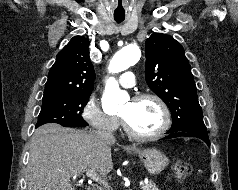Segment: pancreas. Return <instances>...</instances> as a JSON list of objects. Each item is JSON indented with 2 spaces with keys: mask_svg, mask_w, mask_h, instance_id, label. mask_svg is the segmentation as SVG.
<instances>
[{
  "mask_svg": "<svg viewBox=\"0 0 238 190\" xmlns=\"http://www.w3.org/2000/svg\"><path fill=\"white\" fill-rule=\"evenodd\" d=\"M100 190H109L108 186H104ZM142 190H159L155 183L149 182L147 185L142 187Z\"/></svg>",
  "mask_w": 238,
  "mask_h": 190,
  "instance_id": "cf45deb5",
  "label": "pancreas"
}]
</instances>
